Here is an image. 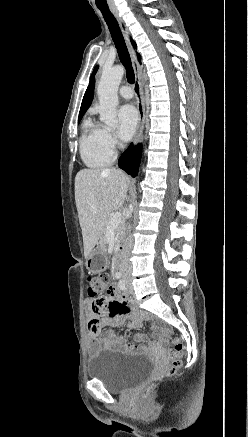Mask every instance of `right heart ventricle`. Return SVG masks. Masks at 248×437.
<instances>
[{"mask_svg": "<svg viewBox=\"0 0 248 437\" xmlns=\"http://www.w3.org/2000/svg\"><path fill=\"white\" fill-rule=\"evenodd\" d=\"M79 149L82 161L89 168H103L112 160V154L108 152L103 142V128L91 118L83 122Z\"/></svg>", "mask_w": 248, "mask_h": 437, "instance_id": "obj_1", "label": "right heart ventricle"}]
</instances>
